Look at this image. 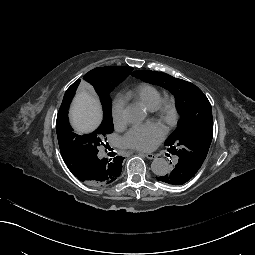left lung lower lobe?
<instances>
[{
	"label": "left lung lower lobe",
	"instance_id": "left-lung-lower-lobe-1",
	"mask_svg": "<svg viewBox=\"0 0 255 255\" xmlns=\"http://www.w3.org/2000/svg\"><path fill=\"white\" fill-rule=\"evenodd\" d=\"M193 177H195V174H193L190 167H187L182 162H176L173 165V169L165 174V176L159 174L156 180L159 183H165L167 186L186 187Z\"/></svg>",
	"mask_w": 255,
	"mask_h": 255
}]
</instances>
